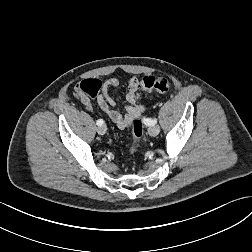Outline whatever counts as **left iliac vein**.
Segmentation results:
<instances>
[{"label": "left iliac vein", "mask_w": 252, "mask_h": 252, "mask_svg": "<svg viewBox=\"0 0 252 252\" xmlns=\"http://www.w3.org/2000/svg\"><path fill=\"white\" fill-rule=\"evenodd\" d=\"M160 132V127L158 125H152L151 127H149L148 129V133L151 135V136H156L158 135Z\"/></svg>", "instance_id": "1"}]
</instances>
